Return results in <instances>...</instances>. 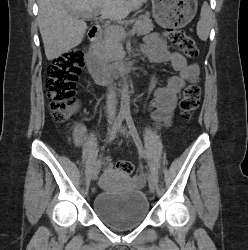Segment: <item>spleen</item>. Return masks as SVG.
Returning a JSON list of instances; mask_svg holds the SVG:
<instances>
[{"label":"spleen","mask_w":248,"mask_h":250,"mask_svg":"<svg viewBox=\"0 0 248 250\" xmlns=\"http://www.w3.org/2000/svg\"><path fill=\"white\" fill-rule=\"evenodd\" d=\"M200 20L197 23V35L202 41H206L209 36L211 21H212V11L207 2H204L201 8Z\"/></svg>","instance_id":"obj_1"}]
</instances>
